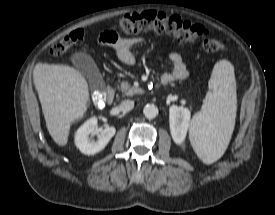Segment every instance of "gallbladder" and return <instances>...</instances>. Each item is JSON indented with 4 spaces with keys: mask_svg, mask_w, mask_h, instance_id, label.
<instances>
[{
    "mask_svg": "<svg viewBox=\"0 0 275 215\" xmlns=\"http://www.w3.org/2000/svg\"><path fill=\"white\" fill-rule=\"evenodd\" d=\"M74 67L88 80L92 90L103 89L105 86L102 75L94 59L86 52H75L71 56Z\"/></svg>",
    "mask_w": 275,
    "mask_h": 215,
    "instance_id": "obj_1",
    "label": "gallbladder"
}]
</instances>
